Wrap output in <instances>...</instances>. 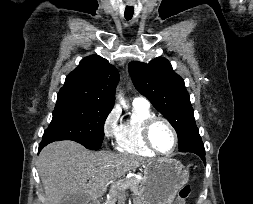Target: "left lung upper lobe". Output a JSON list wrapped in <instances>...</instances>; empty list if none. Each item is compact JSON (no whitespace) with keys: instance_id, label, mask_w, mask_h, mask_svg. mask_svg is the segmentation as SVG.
Wrapping results in <instances>:
<instances>
[{"instance_id":"5c2ea615","label":"left lung upper lobe","mask_w":253,"mask_h":204,"mask_svg":"<svg viewBox=\"0 0 253 204\" xmlns=\"http://www.w3.org/2000/svg\"><path fill=\"white\" fill-rule=\"evenodd\" d=\"M128 69L136 89L150 100L176 130L179 148L188 145L189 135L196 124L184 80L163 57L155 58L148 64L131 62Z\"/></svg>"}]
</instances>
